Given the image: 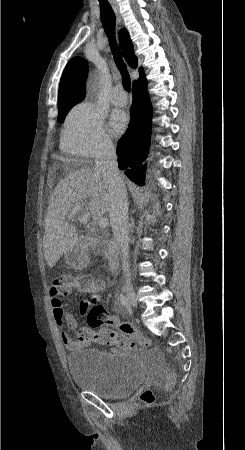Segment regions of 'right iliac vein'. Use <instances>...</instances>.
<instances>
[{
  "instance_id": "63e3f726",
  "label": "right iliac vein",
  "mask_w": 245,
  "mask_h": 450,
  "mask_svg": "<svg viewBox=\"0 0 245 450\" xmlns=\"http://www.w3.org/2000/svg\"><path fill=\"white\" fill-rule=\"evenodd\" d=\"M125 290H126L127 299H128L130 306L132 308H136L138 305V301H137V298H136V295H135V292H134L132 286L126 285Z\"/></svg>"
}]
</instances>
